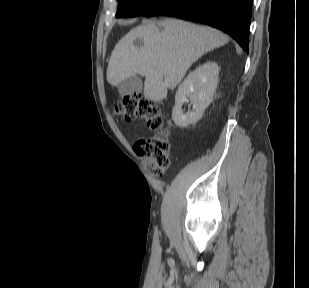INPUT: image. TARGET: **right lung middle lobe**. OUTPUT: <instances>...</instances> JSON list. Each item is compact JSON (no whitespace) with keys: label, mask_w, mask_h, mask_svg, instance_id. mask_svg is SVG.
Here are the masks:
<instances>
[{"label":"right lung middle lobe","mask_w":309,"mask_h":288,"mask_svg":"<svg viewBox=\"0 0 309 288\" xmlns=\"http://www.w3.org/2000/svg\"><path fill=\"white\" fill-rule=\"evenodd\" d=\"M163 0H118L116 17L139 16Z\"/></svg>","instance_id":"obj_1"}]
</instances>
